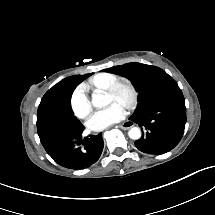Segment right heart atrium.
Returning <instances> with one entry per match:
<instances>
[{"label": "right heart atrium", "mask_w": 215, "mask_h": 215, "mask_svg": "<svg viewBox=\"0 0 215 215\" xmlns=\"http://www.w3.org/2000/svg\"><path fill=\"white\" fill-rule=\"evenodd\" d=\"M73 99L74 110L77 111L80 117H87L90 113V105L87 101L85 93L81 90H78L74 93Z\"/></svg>", "instance_id": "d8ad5b80"}]
</instances>
